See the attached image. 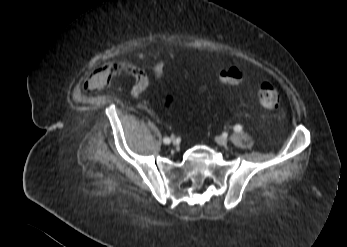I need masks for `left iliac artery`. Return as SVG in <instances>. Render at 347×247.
Segmentation results:
<instances>
[{
	"label": "left iliac artery",
	"instance_id": "obj_1",
	"mask_svg": "<svg viewBox=\"0 0 347 247\" xmlns=\"http://www.w3.org/2000/svg\"><path fill=\"white\" fill-rule=\"evenodd\" d=\"M242 129H243L242 126L239 125V124H237V125L234 126V131H235V132H238V133H239V132L242 131Z\"/></svg>",
	"mask_w": 347,
	"mask_h": 247
}]
</instances>
